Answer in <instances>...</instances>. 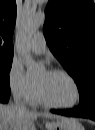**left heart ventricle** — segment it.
Returning a JSON list of instances; mask_svg holds the SVG:
<instances>
[{
	"label": "left heart ventricle",
	"instance_id": "b2bd125f",
	"mask_svg": "<svg viewBox=\"0 0 95 130\" xmlns=\"http://www.w3.org/2000/svg\"><path fill=\"white\" fill-rule=\"evenodd\" d=\"M44 96L60 105L72 104L76 99V90L72 82L62 74H51L43 71L36 78Z\"/></svg>",
	"mask_w": 95,
	"mask_h": 130
}]
</instances>
